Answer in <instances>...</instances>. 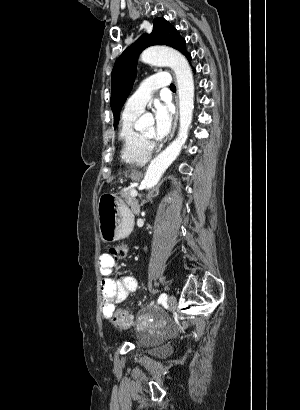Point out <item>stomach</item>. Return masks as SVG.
I'll return each mask as SVG.
<instances>
[{
	"label": "stomach",
	"instance_id": "obj_1",
	"mask_svg": "<svg viewBox=\"0 0 300 410\" xmlns=\"http://www.w3.org/2000/svg\"><path fill=\"white\" fill-rule=\"evenodd\" d=\"M133 180L139 176L131 174ZM99 231L104 242H113L125 238L132 230L133 217L123 201L114 194L100 197L97 207Z\"/></svg>",
	"mask_w": 300,
	"mask_h": 410
}]
</instances>
